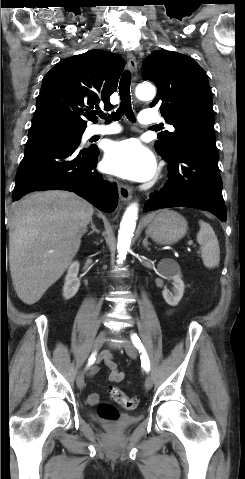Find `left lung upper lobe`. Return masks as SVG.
Here are the masks:
<instances>
[{
	"mask_svg": "<svg viewBox=\"0 0 245 479\" xmlns=\"http://www.w3.org/2000/svg\"><path fill=\"white\" fill-rule=\"evenodd\" d=\"M142 77L157 86L150 104L160 108L174 132H161L155 143L163 158L195 142L214 143L212 96L204 70L191 57L178 52L157 50L143 64Z\"/></svg>",
	"mask_w": 245,
	"mask_h": 479,
	"instance_id": "obj_1",
	"label": "left lung upper lobe"
}]
</instances>
